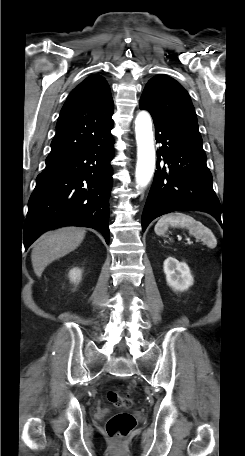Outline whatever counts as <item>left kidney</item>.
Here are the masks:
<instances>
[{
    "label": "left kidney",
    "mask_w": 245,
    "mask_h": 456,
    "mask_svg": "<svg viewBox=\"0 0 245 456\" xmlns=\"http://www.w3.org/2000/svg\"><path fill=\"white\" fill-rule=\"evenodd\" d=\"M163 268L167 284L175 291H185L193 285V277L186 263L168 257L164 261Z\"/></svg>",
    "instance_id": "1"
}]
</instances>
